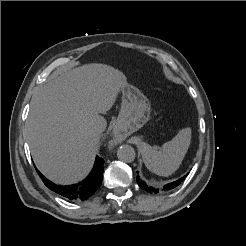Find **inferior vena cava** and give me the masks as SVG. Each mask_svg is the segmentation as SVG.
<instances>
[{
	"label": "inferior vena cava",
	"instance_id": "inferior-vena-cava-1",
	"mask_svg": "<svg viewBox=\"0 0 246 246\" xmlns=\"http://www.w3.org/2000/svg\"><path fill=\"white\" fill-rule=\"evenodd\" d=\"M102 131L103 129L100 126H95L93 129V133L98 137L101 135Z\"/></svg>",
	"mask_w": 246,
	"mask_h": 246
}]
</instances>
